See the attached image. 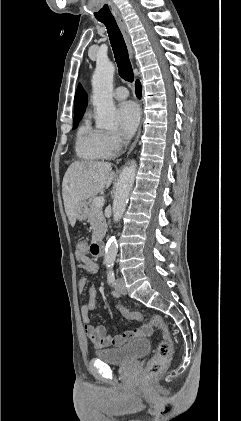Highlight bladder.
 <instances>
[{
	"label": "bladder",
	"mask_w": 241,
	"mask_h": 421,
	"mask_svg": "<svg viewBox=\"0 0 241 421\" xmlns=\"http://www.w3.org/2000/svg\"><path fill=\"white\" fill-rule=\"evenodd\" d=\"M150 347L148 339H139L120 348L98 350L95 352V356L108 364L123 366L145 355Z\"/></svg>",
	"instance_id": "obj_1"
}]
</instances>
